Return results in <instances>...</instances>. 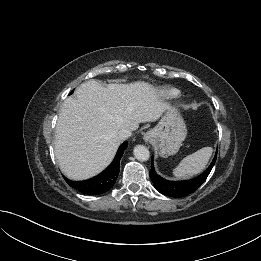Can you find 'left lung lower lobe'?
Instances as JSON below:
<instances>
[{"label": "left lung lower lobe", "mask_w": 261, "mask_h": 261, "mask_svg": "<svg viewBox=\"0 0 261 261\" xmlns=\"http://www.w3.org/2000/svg\"><path fill=\"white\" fill-rule=\"evenodd\" d=\"M216 158H217V151L208 168L202 174L190 180L168 181L162 178L156 173L153 167V159H152V168L149 171V175L154 184V187L161 194L170 197H177V198L185 197L193 193L194 191H196L201 186V184L206 180V178L208 177L209 173L211 172L215 164Z\"/></svg>", "instance_id": "obj_1"}]
</instances>
